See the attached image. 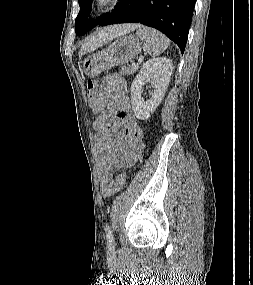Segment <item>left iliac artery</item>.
<instances>
[{"instance_id": "left-iliac-artery-1", "label": "left iliac artery", "mask_w": 253, "mask_h": 285, "mask_svg": "<svg viewBox=\"0 0 253 285\" xmlns=\"http://www.w3.org/2000/svg\"><path fill=\"white\" fill-rule=\"evenodd\" d=\"M106 231H107L106 236H107L108 244H109V246L113 247L115 244V241H114V236H113L112 230L110 227H107Z\"/></svg>"}]
</instances>
